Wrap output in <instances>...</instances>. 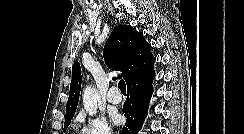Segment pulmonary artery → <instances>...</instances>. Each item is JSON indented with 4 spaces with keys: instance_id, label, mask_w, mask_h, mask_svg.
<instances>
[{
    "instance_id": "obj_1",
    "label": "pulmonary artery",
    "mask_w": 244,
    "mask_h": 134,
    "mask_svg": "<svg viewBox=\"0 0 244 134\" xmlns=\"http://www.w3.org/2000/svg\"><path fill=\"white\" fill-rule=\"evenodd\" d=\"M107 100L112 104H119L122 97L116 87H111L107 93Z\"/></svg>"
}]
</instances>
